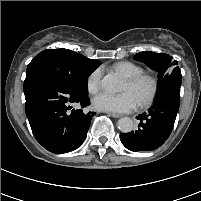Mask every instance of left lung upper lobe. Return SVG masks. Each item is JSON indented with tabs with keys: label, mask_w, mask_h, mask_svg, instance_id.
<instances>
[{
	"label": "left lung upper lobe",
	"mask_w": 201,
	"mask_h": 201,
	"mask_svg": "<svg viewBox=\"0 0 201 201\" xmlns=\"http://www.w3.org/2000/svg\"><path fill=\"white\" fill-rule=\"evenodd\" d=\"M134 59L144 62L151 69L159 72L158 96L170 88L180 89L181 71L177 66V61H173L170 55L144 51L137 53Z\"/></svg>",
	"instance_id": "left-lung-upper-lobe-1"
}]
</instances>
